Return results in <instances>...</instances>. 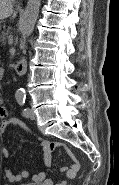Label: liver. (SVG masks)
I'll return each instance as SVG.
<instances>
[{"mask_svg":"<svg viewBox=\"0 0 119 185\" xmlns=\"http://www.w3.org/2000/svg\"><path fill=\"white\" fill-rule=\"evenodd\" d=\"M12 2L13 0H0V20L6 19L11 15H13V18L16 17L17 12L13 10Z\"/></svg>","mask_w":119,"mask_h":185,"instance_id":"obj_1","label":"liver"}]
</instances>
